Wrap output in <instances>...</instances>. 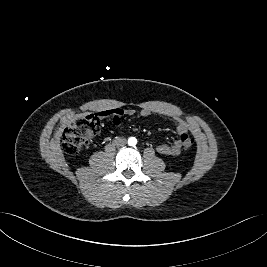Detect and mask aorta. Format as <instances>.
Here are the masks:
<instances>
[{
  "label": "aorta",
  "instance_id": "aorta-1",
  "mask_svg": "<svg viewBox=\"0 0 267 267\" xmlns=\"http://www.w3.org/2000/svg\"><path fill=\"white\" fill-rule=\"evenodd\" d=\"M129 146H135L137 144V139L135 137H130L128 139Z\"/></svg>",
  "mask_w": 267,
  "mask_h": 267
}]
</instances>
